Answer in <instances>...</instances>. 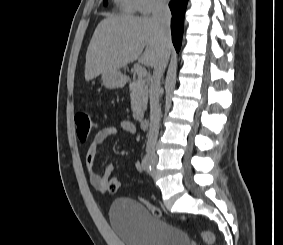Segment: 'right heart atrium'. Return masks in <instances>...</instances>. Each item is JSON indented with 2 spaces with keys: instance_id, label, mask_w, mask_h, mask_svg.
Instances as JSON below:
<instances>
[{
  "instance_id": "right-heart-atrium-1",
  "label": "right heart atrium",
  "mask_w": 283,
  "mask_h": 245,
  "mask_svg": "<svg viewBox=\"0 0 283 245\" xmlns=\"http://www.w3.org/2000/svg\"><path fill=\"white\" fill-rule=\"evenodd\" d=\"M136 11L142 14H150L163 5L164 0H133Z\"/></svg>"
}]
</instances>
